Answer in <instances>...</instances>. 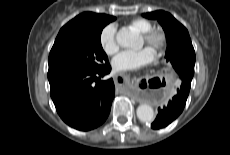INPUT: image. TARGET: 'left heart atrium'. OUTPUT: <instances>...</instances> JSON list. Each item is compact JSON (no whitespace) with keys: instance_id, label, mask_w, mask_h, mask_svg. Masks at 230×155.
<instances>
[{"instance_id":"obj_1","label":"left heart atrium","mask_w":230,"mask_h":155,"mask_svg":"<svg viewBox=\"0 0 230 155\" xmlns=\"http://www.w3.org/2000/svg\"><path fill=\"white\" fill-rule=\"evenodd\" d=\"M154 59V52L149 47L137 51H123L114 57L112 67L116 72L133 71L140 69Z\"/></svg>"}]
</instances>
